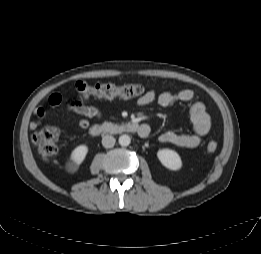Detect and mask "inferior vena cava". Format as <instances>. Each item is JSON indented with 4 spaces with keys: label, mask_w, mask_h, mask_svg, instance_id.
Returning a JSON list of instances; mask_svg holds the SVG:
<instances>
[{
    "label": "inferior vena cava",
    "mask_w": 261,
    "mask_h": 254,
    "mask_svg": "<svg viewBox=\"0 0 261 254\" xmlns=\"http://www.w3.org/2000/svg\"><path fill=\"white\" fill-rule=\"evenodd\" d=\"M115 138L111 135H105L103 138H102V145L105 147V148H112L114 145H115Z\"/></svg>",
    "instance_id": "inferior-vena-cava-1"
}]
</instances>
